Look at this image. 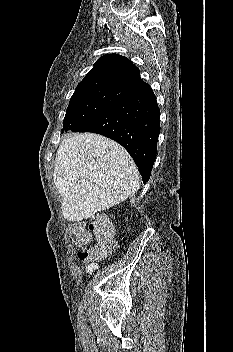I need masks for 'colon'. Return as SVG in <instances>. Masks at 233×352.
Masks as SVG:
<instances>
[{"instance_id":"obj_1","label":"colon","mask_w":233,"mask_h":352,"mask_svg":"<svg viewBox=\"0 0 233 352\" xmlns=\"http://www.w3.org/2000/svg\"><path fill=\"white\" fill-rule=\"evenodd\" d=\"M73 240L78 248V256L82 261L88 263L87 270L90 272L95 269L98 260L105 258L114 251L115 241L112 236L111 228L103 220L96 218L89 226L73 224L70 227ZM95 235V241L88 245Z\"/></svg>"}]
</instances>
